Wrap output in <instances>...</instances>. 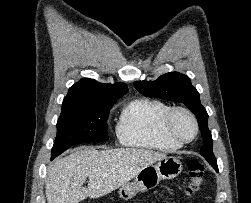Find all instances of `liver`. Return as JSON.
<instances>
[{"label": "liver", "instance_id": "1", "mask_svg": "<svg viewBox=\"0 0 251 203\" xmlns=\"http://www.w3.org/2000/svg\"><path fill=\"white\" fill-rule=\"evenodd\" d=\"M165 157V153L148 149L77 148L48 167L47 203H79L87 197H102L128 183L144 167ZM86 178H89L88 186L83 187Z\"/></svg>", "mask_w": 251, "mask_h": 203}]
</instances>
